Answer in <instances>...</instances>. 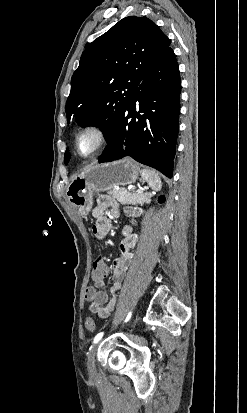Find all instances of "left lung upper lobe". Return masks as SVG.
Masks as SVG:
<instances>
[{
  "mask_svg": "<svg viewBox=\"0 0 247 413\" xmlns=\"http://www.w3.org/2000/svg\"><path fill=\"white\" fill-rule=\"evenodd\" d=\"M171 40L146 17L123 18L84 50L71 79L68 120L97 126L110 138L142 79ZM70 160L68 150L65 164Z\"/></svg>",
  "mask_w": 247,
  "mask_h": 413,
  "instance_id": "left-lung-upper-lobe-1",
  "label": "left lung upper lobe"
}]
</instances>
